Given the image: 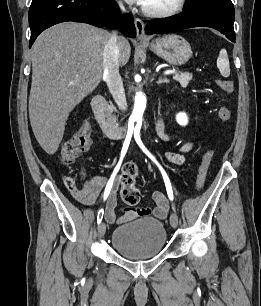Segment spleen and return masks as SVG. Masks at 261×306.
<instances>
[{"label":"spleen","mask_w":261,"mask_h":306,"mask_svg":"<svg viewBox=\"0 0 261 306\" xmlns=\"http://www.w3.org/2000/svg\"><path fill=\"white\" fill-rule=\"evenodd\" d=\"M217 67L220 71V74L223 77H229L230 75V65L228 55L225 49H221L218 59H217Z\"/></svg>","instance_id":"1"}]
</instances>
